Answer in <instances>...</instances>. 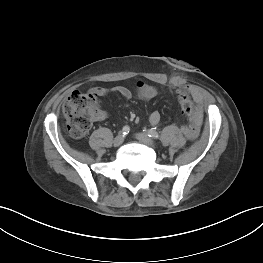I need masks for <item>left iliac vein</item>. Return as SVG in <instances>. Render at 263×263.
<instances>
[{
    "label": "left iliac vein",
    "instance_id": "4c4485c4",
    "mask_svg": "<svg viewBox=\"0 0 263 263\" xmlns=\"http://www.w3.org/2000/svg\"><path fill=\"white\" fill-rule=\"evenodd\" d=\"M136 138L143 144L149 146V147H154L155 143L154 141L145 133H138L136 134Z\"/></svg>",
    "mask_w": 263,
    "mask_h": 263
}]
</instances>
